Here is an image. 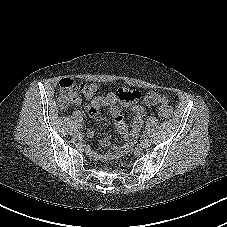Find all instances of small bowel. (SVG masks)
<instances>
[{
    "instance_id": "small-bowel-1",
    "label": "small bowel",
    "mask_w": 227,
    "mask_h": 227,
    "mask_svg": "<svg viewBox=\"0 0 227 227\" xmlns=\"http://www.w3.org/2000/svg\"><path fill=\"white\" fill-rule=\"evenodd\" d=\"M140 100V93L137 90H124L117 89L109 92L105 96L94 97L91 101L83 104L85 112L91 117H97L100 109L107 107L111 110L114 123L119 133L126 139L127 143H132L143 128V119L146 115L145 108L137 104ZM75 104H81L78 99ZM123 111H128L133 116L132 129L128 131L124 121ZM94 130H89V134H93ZM102 144L107 146L108 140H103ZM116 154L115 149H111L107 152V157H113Z\"/></svg>"
}]
</instances>
